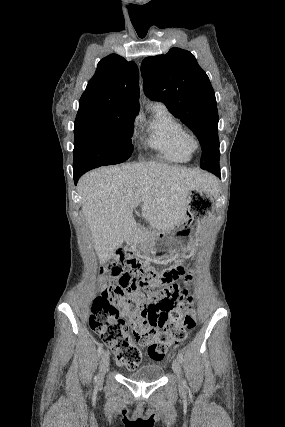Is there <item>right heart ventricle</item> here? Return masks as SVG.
Instances as JSON below:
<instances>
[{
	"instance_id": "1",
	"label": "right heart ventricle",
	"mask_w": 285,
	"mask_h": 427,
	"mask_svg": "<svg viewBox=\"0 0 285 427\" xmlns=\"http://www.w3.org/2000/svg\"><path fill=\"white\" fill-rule=\"evenodd\" d=\"M146 124L148 144L162 158L178 163L191 159V151L182 141L184 129L164 105L156 104L151 108V117Z\"/></svg>"
}]
</instances>
